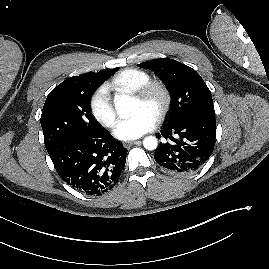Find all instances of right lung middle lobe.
I'll use <instances>...</instances> for the list:
<instances>
[{"label": "right lung middle lobe", "instance_id": "dd1d6c3e", "mask_svg": "<svg viewBox=\"0 0 269 269\" xmlns=\"http://www.w3.org/2000/svg\"><path fill=\"white\" fill-rule=\"evenodd\" d=\"M119 68L94 74L86 80L61 83L47 96L41 126L47 151L74 136H87L102 128L94 120L90 100L94 91Z\"/></svg>", "mask_w": 269, "mask_h": 269}]
</instances>
